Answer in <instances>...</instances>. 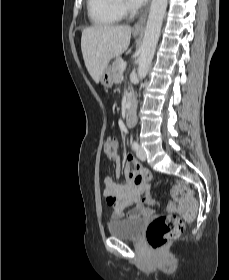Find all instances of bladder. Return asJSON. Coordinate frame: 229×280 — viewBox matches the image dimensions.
<instances>
[{
  "label": "bladder",
  "mask_w": 229,
  "mask_h": 280,
  "mask_svg": "<svg viewBox=\"0 0 229 280\" xmlns=\"http://www.w3.org/2000/svg\"><path fill=\"white\" fill-rule=\"evenodd\" d=\"M144 218H128L112 221L108 224L111 236L121 239H138L143 232Z\"/></svg>",
  "instance_id": "obj_1"
}]
</instances>
